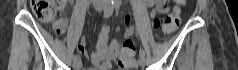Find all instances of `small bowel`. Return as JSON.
I'll return each mask as SVG.
<instances>
[{"label": "small bowel", "mask_w": 238, "mask_h": 70, "mask_svg": "<svg viewBox=\"0 0 238 70\" xmlns=\"http://www.w3.org/2000/svg\"><path fill=\"white\" fill-rule=\"evenodd\" d=\"M147 4L151 7H155L151 12V17L164 14L168 11V4L163 0H148ZM129 22V17L127 18ZM68 22L66 19H59L54 24V29L58 34L65 32ZM134 29L129 26L125 33H132ZM110 27L108 25H103L100 29L97 49L95 52H90L87 48V42L83 38L80 40L78 45L79 52L87 57L93 64L92 67L86 70H110L111 63L116 60V54H120L121 44L113 40L109 43Z\"/></svg>", "instance_id": "small-bowel-1"}]
</instances>
